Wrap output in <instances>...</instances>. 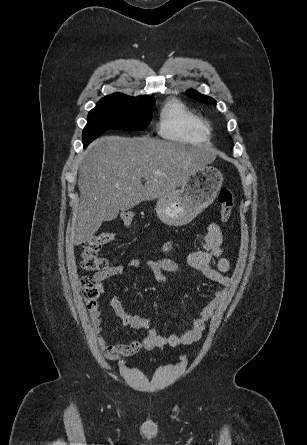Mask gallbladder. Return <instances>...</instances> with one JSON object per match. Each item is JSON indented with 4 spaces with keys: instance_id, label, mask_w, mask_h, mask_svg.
Wrapping results in <instances>:
<instances>
[{
    "instance_id": "gallbladder-1",
    "label": "gallbladder",
    "mask_w": 307,
    "mask_h": 445,
    "mask_svg": "<svg viewBox=\"0 0 307 445\" xmlns=\"http://www.w3.org/2000/svg\"><path fill=\"white\" fill-rule=\"evenodd\" d=\"M105 211H106V217H105V220H106V222H108V223L113 222V220H114L115 218H117V216H118L117 211H115L114 208H113V206H111V205L106 206Z\"/></svg>"
}]
</instances>
